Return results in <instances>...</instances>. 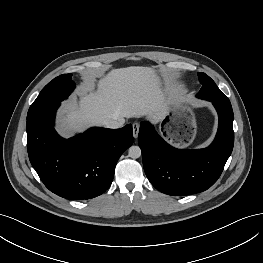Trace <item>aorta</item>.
<instances>
[{
    "label": "aorta",
    "instance_id": "aorta-1",
    "mask_svg": "<svg viewBox=\"0 0 263 263\" xmlns=\"http://www.w3.org/2000/svg\"><path fill=\"white\" fill-rule=\"evenodd\" d=\"M129 157L137 159L141 156V149L139 146H131L128 150Z\"/></svg>",
    "mask_w": 263,
    "mask_h": 263
}]
</instances>
